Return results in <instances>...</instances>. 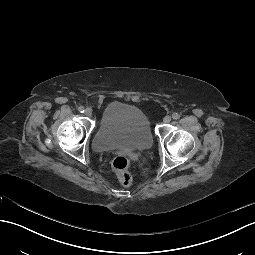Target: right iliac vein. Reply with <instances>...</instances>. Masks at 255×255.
<instances>
[{"label":"right iliac vein","mask_w":255,"mask_h":255,"mask_svg":"<svg viewBox=\"0 0 255 255\" xmlns=\"http://www.w3.org/2000/svg\"><path fill=\"white\" fill-rule=\"evenodd\" d=\"M84 114L89 117L92 115V110L90 108H86Z\"/></svg>","instance_id":"right-iliac-vein-1"}]
</instances>
